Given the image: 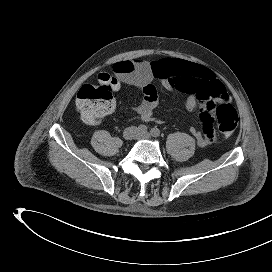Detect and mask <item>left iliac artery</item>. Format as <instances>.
I'll list each match as a JSON object with an SVG mask.
<instances>
[{
  "mask_svg": "<svg viewBox=\"0 0 272 272\" xmlns=\"http://www.w3.org/2000/svg\"><path fill=\"white\" fill-rule=\"evenodd\" d=\"M150 133L153 137H158L160 135V130L157 127H154L151 129Z\"/></svg>",
  "mask_w": 272,
  "mask_h": 272,
  "instance_id": "obj_1",
  "label": "left iliac artery"
}]
</instances>
